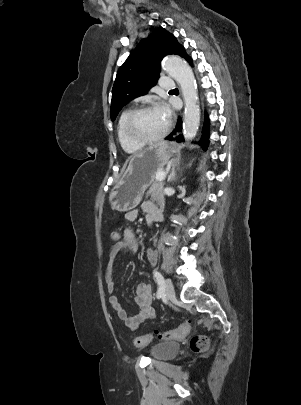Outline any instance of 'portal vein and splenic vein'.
Instances as JSON below:
<instances>
[{
	"label": "portal vein and splenic vein",
	"instance_id": "1",
	"mask_svg": "<svg viewBox=\"0 0 301 405\" xmlns=\"http://www.w3.org/2000/svg\"><path fill=\"white\" fill-rule=\"evenodd\" d=\"M165 177H166V172L161 171V172L157 173L156 180L163 181L165 179Z\"/></svg>",
	"mask_w": 301,
	"mask_h": 405
}]
</instances>
